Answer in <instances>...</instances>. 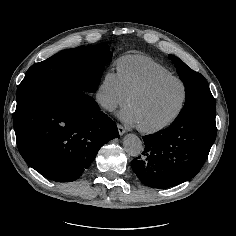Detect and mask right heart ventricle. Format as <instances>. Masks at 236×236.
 I'll return each instance as SVG.
<instances>
[{
    "label": "right heart ventricle",
    "mask_w": 236,
    "mask_h": 236,
    "mask_svg": "<svg viewBox=\"0 0 236 236\" xmlns=\"http://www.w3.org/2000/svg\"><path fill=\"white\" fill-rule=\"evenodd\" d=\"M118 74L126 93L130 95L151 80L174 75L166 66L146 55H126L116 61Z\"/></svg>",
    "instance_id": "e07e8e85"
}]
</instances>
